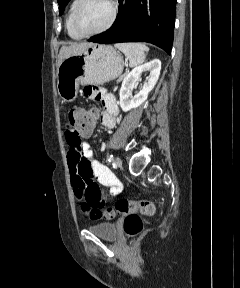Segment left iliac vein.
Listing matches in <instances>:
<instances>
[{"label":"left iliac vein","instance_id":"left-iliac-vein-1","mask_svg":"<svg viewBox=\"0 0 240 288\" xmlns=\"http://www.w3.org/2000/svg\"><path fill=\"white\" fill-rule=\"evenodd\" d=\"M115 165H116L117 167H120V166L122 165V161H121V159H120L119 157H116V158H115Z\"/></svg>","mask_w":240,"mask_h":288}]
</instances>
